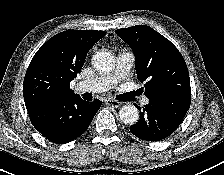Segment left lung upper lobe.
<instances>
[{"label":"left lung upper lobe","mask_w":224,"mask_h":175,"mask_svg":"<svg viewBox=\"0 0 224 175\" xmlns=\"http://www.w3.org/2000/svg\"><path fill=\"white\" fill-rule=\"evenodd\" d=\"M133 50L137 77L149 99L191 102L190 79L178 49L146 25L115 31Z\"/></svg>","instance_id":"obj_1"}]
</instances>
